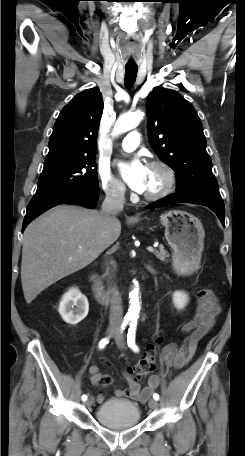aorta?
Here are the masks:
<instances>
[{
	"instance_id": "obj_1",
	"label": "aorta",
	"mask_w": 245,
	"mask_h": 456,
	"mask_svg": "<svg viewBox=\"0 0 245 456\" xmlns=\"http://www.w3.org/2000/svg\"><path fill=\"white\" fill-rule=\"evenodd\" d=\"M143 113L140 111H136L134 113H128L120 116L115 123L113 129V136H117L121 133L130 131L138 126L141 119L143 118ZM135 283V287L129 293V309L126 314L127 318L130 319H137L139 312H140V303H139V296H138V288L137 284Z\"/></svg>"
}]
</instances>
